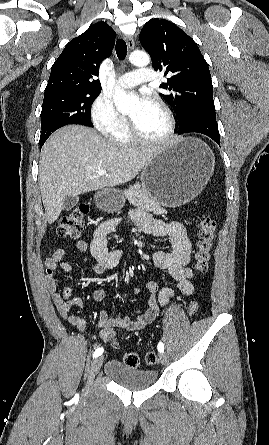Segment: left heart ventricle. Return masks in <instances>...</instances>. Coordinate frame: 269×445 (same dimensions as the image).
<instances>
[{
    "mask_svg": "<svg viewBox=\"0 0 269 445\" xmlns=\"http://www.w3.org/2000/svg\"><path fill=\"white\" fill-rule=\"evenodd\" d=\"M140 133L147 138H159L168 128V120L164 112L151 102L146 108L135 103L128 113Z\"/></svg>",
    "mask_w": 269,
    "mask_h": 445,
    "instance_id": "left-heart-ventricle-1",
    "label": "left heart ventricle"
}]
</instances>
